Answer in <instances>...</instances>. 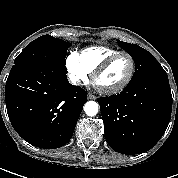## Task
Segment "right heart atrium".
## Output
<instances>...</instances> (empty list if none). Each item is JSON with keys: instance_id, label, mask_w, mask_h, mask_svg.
<instances>
[{"instance_id": "d8ad5b80", "label": "right heart atrium", "mask_w": 178, "mask_h": 178, "mask_svg": "<svg viewBox=\"0 0 178 178\" xmlns=\"http://www.w3.org/2000/svg\"><path fill=\"white\" fill-rule=\"evenodd\" d=\"M66 67L70 81L75 85H82L89 81V73L80 63L77 54H71L66 60Z\"/></svg>"}]
</instances>
